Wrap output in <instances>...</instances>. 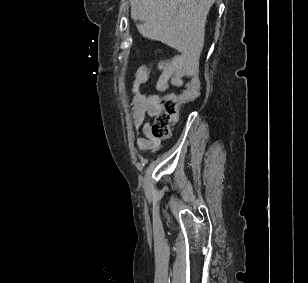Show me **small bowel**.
Returning a JSON list of instances; mask_svg holds the SVG:
<instances>
[{
	"instance_id": "1",
	"label": "small bowel",
	"mask_w": 308,
	"mask_h": 283,
	"mask_svg": "<svg viewBox=\"0 0 308 283\" xmlns=\"http://www.w3.org/2000/svg\"><path fill=\"white\" fill-rule=\"evenodd\" d=\"M194 59L187 55H176L158 65V78L155 84L158 92H165L171 87H182L185 79L191 77ZM150 72L146 67L137 69L132 80L133 98L131 101L132 119L137 131L143 136L138 137L136 146L139 151L149 150L155 153L161 149V140L151 134L150 123L146 117H154L159 112L158 95H146L141 91L149 81Z\"/></svg>"
}]
</instances>
